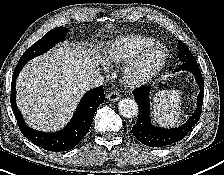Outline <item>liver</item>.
Returning <instances> with one entry per match:
<instances>
[{
	"instance_id": "obj_1",
	"label": "liver",
	"mask_w": 224,
	"mask_h": 175,
	"mask_svg": "<svg viewBox=\"0 0 224 175\" xmlns=\"http://www.w3.org/2000/svg\"><path fill=\"white\" fill-rule=\"evenodd\" d=\"M103 60L97 49L64 43L26 64L16 81V103L33 129L52 132L72 117L85 93L81 84Z\"/></svg>"
}]
</instances>
